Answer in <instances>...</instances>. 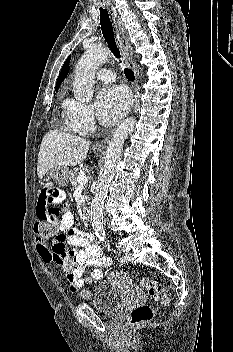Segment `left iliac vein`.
<instances>
[{
	"label": "left iliac vein",
	"instance_id": "left-iliac-vein-1",
	"mask_svg": "<svg viewBox=\"0 0 233 352\" xmlns=\"http://www.w3.org/2000/svg\"><path fill=\"white\" fill-rule=\"evenodd\" d=\"M124 256H125V262L131 261V253L129 251H125Z\"/></svg>",
	"mask_w": 233,
	"mask_h": 352
}]
</instances>
